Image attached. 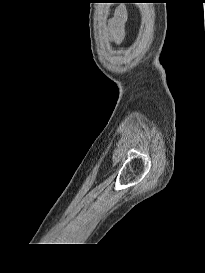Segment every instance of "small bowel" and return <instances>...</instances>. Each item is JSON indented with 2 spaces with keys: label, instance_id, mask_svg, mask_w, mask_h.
Listing matches in <instances>:
<instances>
[{
  "label": "small bowel",
  "instance_id": "1",
  "mask_svg": "<svg viewBox=\"0 0 205 273\" xmlns=\"http://www.w3.org/2000/svg\"><path fill=\"white\" fill-rule=\"evenodd\" d=\"M122 21H123V18L121 16L116 15L111 19V21L109 23V27L112 30V33H113L115 39L118 41L124 35Z\"/></svg>",
  "mask_w": 205,
  "mask_h": 273
}]
</instances>
